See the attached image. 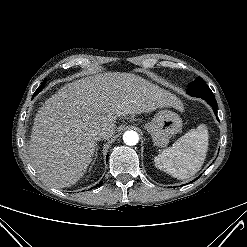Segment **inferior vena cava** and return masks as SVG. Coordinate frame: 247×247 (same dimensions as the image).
Wrapping results in <instances>:
<instances>
[{"mask_svg": "<svg viewBox=\"0 0 247 247\" xmlns=\"http://www.w3.org/2000/svg\"><path fill=\"white\" fill-rule=\"evenodd\" d=\"M106 132L103 131V130H95L91 133V137L94 139V140H101V139H104L105 136H106Z\"/></svg>", "mask_w": 247, "mask_h": 247, "instance_id": "1", "label": "inferior vena cava"}]
</instances>
